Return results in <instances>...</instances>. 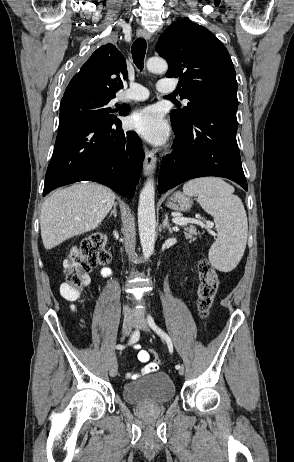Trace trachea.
<instances>
[{
    "label": "trachea",
    "mask_w": 294,
    "mask_h": 462,
    "mask_svg": "<svg viewBox=\"0 0 294 462\" xmlns=\"http://www.w3.org/2000/svg\"><path fill=\"white\" fill-rule=\"evenodd\" d=\"M146 41L143 38H138L132 45V58L138 69H143L144 57L146 52Z\"/></svg>",
    "instance_id": "1"
}]
</instances>
